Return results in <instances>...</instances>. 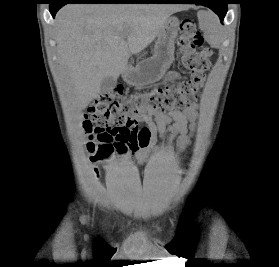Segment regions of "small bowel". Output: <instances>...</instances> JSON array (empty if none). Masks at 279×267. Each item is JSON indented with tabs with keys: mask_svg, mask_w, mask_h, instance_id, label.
<instances>
[{
	"mask_svg": "<svg viewBox=\"0 0 279 267\" xmlns=\"http://www.w3.org/2000/svg\"><path fill=\"white\" fill-rule=\"evenodd\" d=\"M180 74L172 71L168 75L169 81L179 79ZM196 116V106H190L184 111L175 110L168 113L149 112L134 119V127L139 132L144 129L148 133V138L144 144L130 145V149L138 159L146 161L158 145L157 134L160 137L168 136L171 140H176L178 147L184 149L190 142V130ZM144 122L145 127L139 128V123ZM173 122V124H171Z\"/></svg>",
	"mask_w": 279,
	"mask_h": 267,
	"instance_id": "small-bowel-1",
	"label": "small bowel"
}]
</instances>
